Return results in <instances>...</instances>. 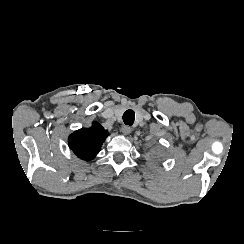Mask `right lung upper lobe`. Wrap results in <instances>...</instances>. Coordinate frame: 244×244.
Masks as SVG:
<instances>
[{"instance_id": "1", "label": "right lung upper lobe", "mask_w": 244, "mask_h": 244, "mask_svg": "<svg viewBox=\"0 0 244 244\" xmlns=\"http://www.w3.org/2000/svg\"><path fill=\"white\" fill-rule=\"evenodd\" d=\"M108 132L98 123L93 122L90 128H81L69 136L70 149L85 161L92 160L101 149Z\"/></svg>"}]
</instances>
